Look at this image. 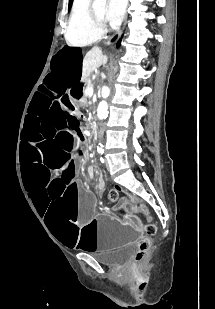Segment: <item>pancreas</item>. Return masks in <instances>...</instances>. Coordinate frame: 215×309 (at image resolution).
Instances as JSON below:
<instances>
[{
    "label": "pancreas",
    "mask_w": 215,
    "mask_h": 309,
    "mask_svg": "<svg viewBox=\"0 0 215 309\" xmlns=\"http://www.w3.org/2000/svg\"><path fill=\"white\" fill-rule=\"evenodd\" d=\"M85 86H86V88H92V86H94V82H93L92 78H88V80H85ZM83 92H84L83 98H89L85 88H84Z\"/></svg>",
    "instance_id": "1"
}]
</instances>
